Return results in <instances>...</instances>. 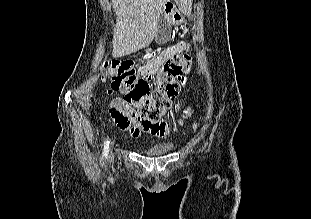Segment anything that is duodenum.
Returning a JSON list of instances; mask_svg holds the SVG:
<instances>
[{"label":"duodenum","mask_w":311,"mask_h":219,"mask_svg":"<svg viewBox=\"0 0 311 219\" xmlns=\"http://www.w3.org/2000/svg\"><path fill=\"white\" fill-rule=\"evenodd\" d=\"M164 9H165V12H166L167 14H170V13L173 12V6H172V4H170V3H167V4L165 5Z\"/></svg>","instance_id":"obj_1"}]
</instances>
